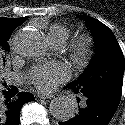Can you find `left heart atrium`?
Here are the masks:
<instances>
[{
	"mask_svg": "<svg viewBox=\"0 0 125 125\" xmlns=\"http://www.w3.org/2000/svg\"><path fill=\"white\" fill-rule=\"evenodd\" d=\"M68 70L60 63L40 64L32 67L26 74L28 82L41 91H50L58 83L68 78Z\"/></svg>",
	"mask_w": 125,
	"mask_h": 125,
	"instance_id": "obj_1",
	"label": "left heart atrium"
}]
</instances>
